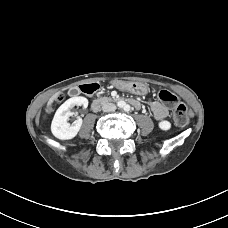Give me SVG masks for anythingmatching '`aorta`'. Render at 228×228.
Masks as SVG:
<instances>
[{
	"instance_id": "aorta-1",
	"label": "aorta",
	"mask_w": 228,
	"mask_h": 228,
	"mask_svg": "<svg viewBox=\"0 0 228 228\" xmlns=\"http://www.w3.org/2000/svg\"><path fill=\"white\" fill-rule=\"evenodd\" d=\"M126 106H129V105L125 104V106H124V107H126Z\"/></svg>"
}]
</instances>
